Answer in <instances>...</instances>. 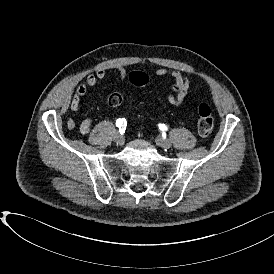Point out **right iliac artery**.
I'll list each match as a JSON object with an SVG mask.
<instances>
[{"label":"right iliac artery","mask_w":274,"mask_h":274,"mask_svg":"<svg viewBox=\"0 0 274 274\" xmlns=\"http://www.w3.org/2000/svg\"><path fill=\"white\" fill-rule=\"evenodd\" d=\"M126 125H127V122H126L125 118L118 119L116 121V126L119 128V132H120L121 135L125 132Z\"/></svg>","instance_id":"1"}]
</instances>
